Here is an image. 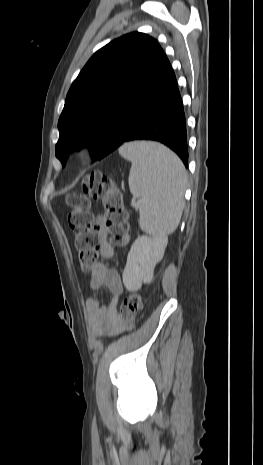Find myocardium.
Listing matches in <instances>:
<instances>
[{"instance_id":"f54148a6","label":"myocardium","mask_w":263,"mask_h":465,"mask_svg":"<svg viewBox=\"0 0 263 465\" xmlns=\"http://www.w3.org/2000/svg\"><path fill=\"white\" fill-rule=\"evenodd\" d=\"M95 154V147L91 144L81 146L78 151L76 158L80 163H86L90 161Z\"/></svg>"}]
</instances>
